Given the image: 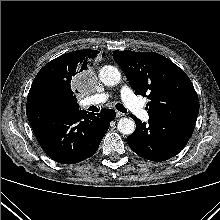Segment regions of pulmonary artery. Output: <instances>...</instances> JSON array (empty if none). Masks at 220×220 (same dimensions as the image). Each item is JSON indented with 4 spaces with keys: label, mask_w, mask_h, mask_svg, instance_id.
<instances>
[{
    "label": "pulmonary artery",
    "mask_w": 220,
    "mask_h": 220,
    "mask_svg": "<svg viewBox=\"0 0 220 220\" xmlns=\"http://www.w3.org/2000/svg\"><path fill=\"white\" fill-rule=\"evenodd\" d=\"M121 98L128 109L133 112L139 119L147 121L149 115L144 108V105L137 99L132 90L128 86H123L121 89ZM108 99L107 94L96 95L92 98L95 103L104 102Z\"/></svg>",
    "instance_id": "pulmonary-artery-1"
}]
</instances>
